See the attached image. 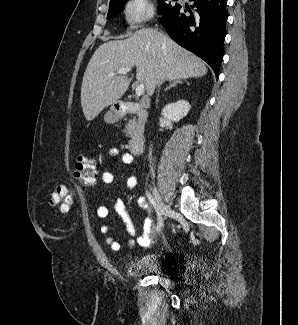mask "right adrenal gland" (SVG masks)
Returning a JSON list of instances; mask_svg holds the SVG:
<instances>
[{
	"instance_id": "2a0ac1e0",
	"label": "right adrenal gland",
	"mask_w": 298,
	"mask_h": 325,
	"mask_svg": "<svg viewBox=\"0 0 298 325\" xmlns=\"http://www.w3.org/2000/svg\"><path fill=\"white\" fill-rule=\"evenodd\" d=\"M178 82H182L181 78H178V80H172V82H170L169 86H166V88H164V90H169V88H172V86H176V84H178Z\"/></svg>"
}]
</instances>
